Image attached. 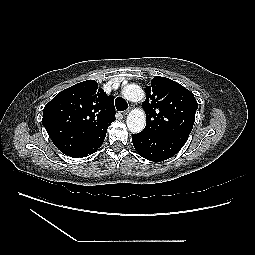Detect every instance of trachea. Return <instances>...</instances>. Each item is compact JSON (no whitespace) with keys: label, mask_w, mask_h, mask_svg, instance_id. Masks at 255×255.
<instances>
[{"label":"trachea","mask_w":255,"mask_h":255,"mask_svg":"<svg viewBox=\"0 0 255 255\" xmlns=\"http://www.w3.org/2000/svg\"><path fill=\"white\" fill-rule=\"evenodd\" d=\"M115 106L118 111H125L128 108V103L122 97H117Z\"/></svg>","instance_id":"trachea-1"}]
</instances>
